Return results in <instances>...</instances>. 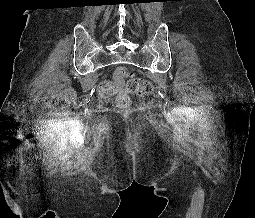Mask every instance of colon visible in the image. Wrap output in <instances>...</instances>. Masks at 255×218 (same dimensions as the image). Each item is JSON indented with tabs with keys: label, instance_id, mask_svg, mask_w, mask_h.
Segmentation results:
<instances>
[{
	"label": "colon",
	"instance_id": "colon-1",
	"mask_svg": "<svg viewBox=\"0 0 255 218\" xmlns=\"http://www.w3.org/2000/svg\"><path fill=\"white\" fill-rule=\"evenodd\" d=\"M124 79H128L126 90H121L119 83H123ZM99 93L102 96L118 93L116 103L120 108H125L130 104V94H137L146 98L151 97L153 95V85L143 78L132 77L127 67L119 66L114 72L113 81L100 84Z\"/></svg>",
	"mask_w": 255,
	"mask_h": 218
}]
</instances>
